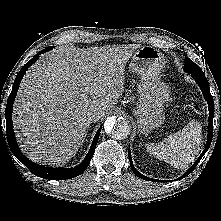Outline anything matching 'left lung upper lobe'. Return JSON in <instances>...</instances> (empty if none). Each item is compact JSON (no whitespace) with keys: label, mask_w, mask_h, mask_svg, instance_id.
Masks as SVG:
<instances>
[{"label":"left lung upper lobe","mask_w":221,"mask_h":221,"mask_svg":"<svg viewBox=\"0 0 221 221\" xmlns=\"http://www.w3.org/2000/svg\"><path fill=\"white\" fill-rule=\"evenodd\" d=\"M184 71L187 73H203L201 68L187 57H185Z\"/></svg>","instance_id":"1"}]
</instances>
